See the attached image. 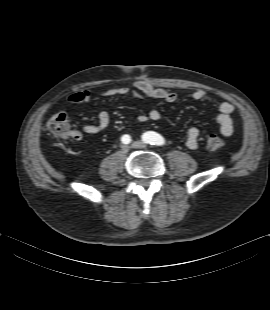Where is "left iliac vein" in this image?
I'll return each instance as SVG.
<instances>
[{"label": "left iliac vein", "instance_id": "4c4485c4", "mask_svg": "<svg viewBox=\"0 0 270 310\" xmlns=\"http://www.w3.org/2000/svg\"><path fill=\"white\" fill-rule=\"evenodd\" d=\"M132 147L133 148H136V149H143V148H146L147 145L146 143L142 142V141H134L132 143Z\"/></svg>", "mask_w": 270, "mask_h": 310}]
</instances>
